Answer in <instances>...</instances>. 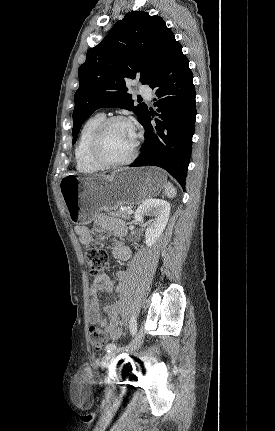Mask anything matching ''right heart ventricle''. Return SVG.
<instances>
[{
  "instance_id": "obj_1",
  "label": "right heart ventricle",
  "mask_w": 275,
  "mask_h": 431,
  "mask_svg": "<svg viewBox=\"0 0 275 431\" xmlns=\"http://www.w3.org/2000/svg\"><path fill=\"white\" fill-rule=\"evenodd\" d=\"M104 119V114L97 113L88 118L81 127L75 147V161L76 168L82 173H94L101 169L90 159L88 147L93 132Z\"/></svg>"
}]
</instances>
